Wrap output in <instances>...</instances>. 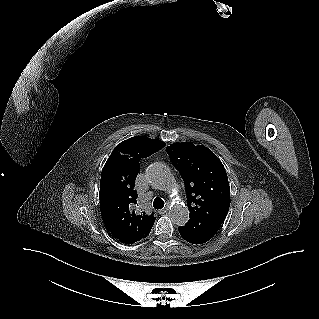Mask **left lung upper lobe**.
<instances>
[{"label":"left lung upper lobe","mask_w":319,"mask_h":319,"mask_svg":"<svg viewBox=\"0 0 319 319\" xmlns=\"http://www.w3.org/2000/svg\"><path fill=\"white\" fill-rule=\"evenodd\" d=\"M166 151L184 180L189 218L222 224L230 206L222 162L207 147L191 142L173 143Z\"/></svg>","instance_id":"5c2ea615"}]
</instances>
